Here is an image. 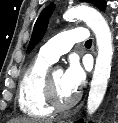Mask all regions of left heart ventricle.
I'll return each instance as SVG.
<instances>
[{
	"instance_id": "left-heart-ventricle-1",
	"label": "left heart ventricle",
	"mask_w": 118,
	"mask_h": 123,
	"mask_svg": "<svg viewBox=\"0 0 118 123\" xmlns=\"http://www.w3.org/2000/svg\"><path fill=\"white\" fill-rule=\"evenodd\" d=\"M52 81L54 83L57 96L61 101L65 102L75 94V92L71 91L64 83L63 72L61 70L56 69L52 72Z\"/></svg>"
}]
</instances>
